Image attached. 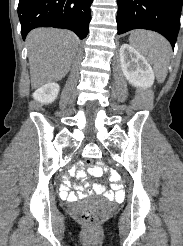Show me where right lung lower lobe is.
Listing matches in <instances>:
<instances>
[{"label": "right lung lower lobe", "instance_id": "98d812e1", "mask_svg": "<svg viewBox=\"0 0 183 246\" xmlns=\"http://www.w3.org/2000/svg\"><path fill=\"white\" fill-rule=\"evenodd\" d=\"M93 0H19L18 16L23 39L37 27L72 30L80 39L89 31Z\"/></svg>", "mask_w": 183, "mask_h": 246}]
</instances>
